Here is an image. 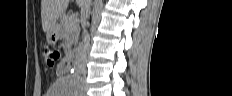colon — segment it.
Instances as JSON below:
<instances>
[{"instance_id": "colon-1", "label": "colon", "mask_w": 232, "mask_h": 96, "mask_svg": "<svg viewBox=\"0 0 232 96\" xmlns=\"http://www.w3.org/2000/svg\"><path fill=\"white\" fill-rule=\"evenodd\" d=\"M45 57H46L48 64L54 65L56 62H58L60 60L61 53L58 49L48 48L45 51Z\"/></svg>"}]
</instances>
